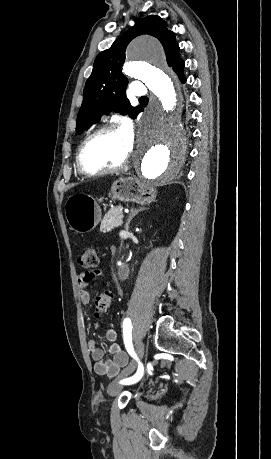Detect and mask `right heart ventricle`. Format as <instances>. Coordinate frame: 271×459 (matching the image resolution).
I'll return each instance as SVG.
<instances>
[{"mask_svg": "<svg viewBox=\"0 0 271 459\" xmlns=\"http://www.w3.org/2000/svg\"><path fill=\"white\" fill-rule=\"evenodd\" d=\"M77 169H78V167H77ZM78 172H79L81 175L85 176V174H83L79 169H78Z\"/></svg>", "mask_w": 271, "mask_h": 459, "instance_id": "obj_1", "label": "right heart ventricle"}]
</instances>
